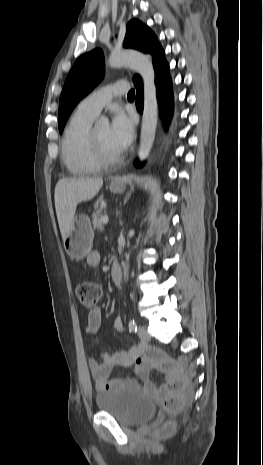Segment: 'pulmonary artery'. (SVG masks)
I'll use <instances>...</instances> for the list:
<instances>
[{"instance_id":"pulmonary-artery-1","label":"pulmonary artery","mask_w":263,"mask_h":465,"mask_svg":"<svg viewBox=\"0 0 263 465\" xmlns=\"http://www.w3.org/2000/svg\"><path fill=\"white\" fill-rule=\"evenodd\" d=\"M128 88L129 86L125 81H117L106 85L85 97L79 103L77 110L92 117H96L113 97L126 93Z\"/></svg>"}]
</instances>
